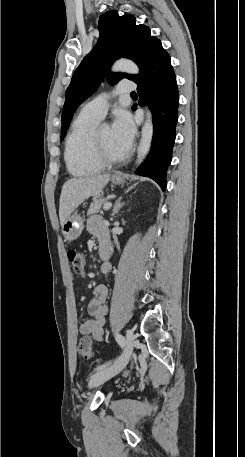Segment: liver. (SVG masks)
Returning a JSON list of instances; mask_svg holds the SVG:
<instances>
[{"mask_svg": "<svg viewBox=\"0 0 245 457\" xmlns=\"http://www.w3.org/2000/svg\"><path fill=\"white\" fill-rule=\"evenodd\" d=\"M110 174H95L88 178H69L62 186L59 218L61 224L69 218L71 212L84 202L88 196L100 194L102 188L107 184Z\"/></svg>", "mask_w": 245, "mask_h": 457, "instance_id": "obj_1", "label": "liver"}]
</instances>
